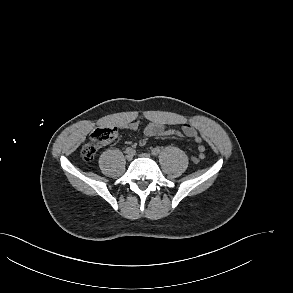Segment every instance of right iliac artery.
Returning a JSON list of instances; mask_svg holds the SVG:
<instances>
[{"instance_id": "82829eb1", "label": "right iliac artery", "mask_w": 293, "mask_h": 293, "mask_svg": "<svg viewBox=\"0 0 293 293\" xmlns=\"http://www.w3.org/2000/svg\"><path fill=\"white\" fill-rule=\"evenodd\" d=\"M127 154L128 153H134V150L131 148V147H128L126 148V151H125Z\"/></svg>"}]
</instances>
